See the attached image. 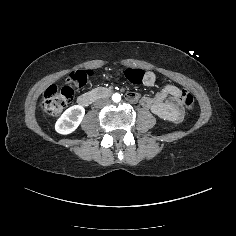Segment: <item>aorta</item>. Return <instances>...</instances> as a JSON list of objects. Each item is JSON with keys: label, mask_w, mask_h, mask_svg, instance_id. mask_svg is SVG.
<instances>
[{"label": "aorta", "mask_w": 236, "mask_h": 236, "mask_svg": "<svg viewBox=\"0 0 236 236\" xmlns=\"http://www.w3.org/2000/svg\"><path fill=\"white\" fill-rule=\"evenodd\" d=\"M112 100H113V102H115V103L120 102V100H121L120 94H113V95H112Z\"/></svg>", "instance_id": "762f6f07"}]
</instances>
